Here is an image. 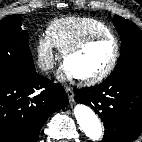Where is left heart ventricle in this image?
Returning <instances> with one entry per match:
<instances>
[{"label":"left heart ventricle","mask_w":142,"mask_h":142,"mask_svg":"<svg viewBox=\"0 0 142 142\" xmlns=\"http://www.w3.org/2000/svg\"><path fill=\"white\" fill-rule=\"evenodd\" d=\"M115 51L111 40H98L82 51L71 55L65 62V70L75 77H89L104 70Z\"/></svg>","instance_id":"left-heart-ventricle-1"}]
</instances>
